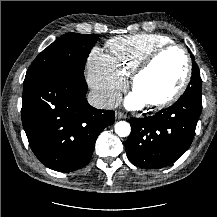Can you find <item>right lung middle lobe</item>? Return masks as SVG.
Segmentation results:
<instances>
[{
	"label": "right lung middle lobe",
	"instance_id": "right-lung-middle-lobe-1",
	"mask_svg": "<svg viewBox=\"0 0 217 217\" xmlns=\"http://www.w3.org/2000/svg\"><path fill=\"white\" fill-rule=\"evenodd\" d=\"M97 40L98 35L95 34L67 33L61 36L35 58L25 80L58 66L69 68L77 78L85 80V63Z\"/></svg>",
	"mask_w": 217,
	"mask_h": 217
}]
</instances>
